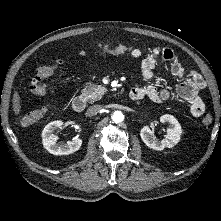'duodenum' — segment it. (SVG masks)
Instances as JSON below:
<instances>
[{
	"instance_id": "410a0bca",
	"label": "duodenum",
	"mask_w": 221,
	"mask_h": 221,
	"mask_svg": "<svg viewBox=\"0 0 221 221\" xmlns=\"http://www.w3.org/2000/svg\"><path fill=\"white\" fill-rule=\"evenodd\" d=\"M130 98L132 100H137L135 94L132 91L130 92ZM85 107H86V101L83 97L77 96V97L73 98L72 108L75 112L80 113L85 109Z\"/></svg>"
}]
</instances>
